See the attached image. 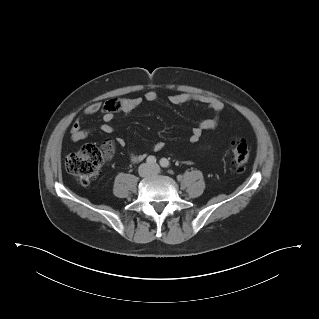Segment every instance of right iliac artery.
<instances>
[{
  "label": "right iliac artery",
  "mask_w": 319,
  "mask_h": 319,
  "mask_svg": "<svg viewBox=\"0 0 319 319\" xmlns=\"http://www.w3.org/2000/svg\"><path fill=\"white\" fill-rule=\"evenodd\" d=\"M147 163L153 165L154 163H156V158L154 156H149L147 158Z\"/></svg>",
  "instance_id": "1"
}]
</instances>
